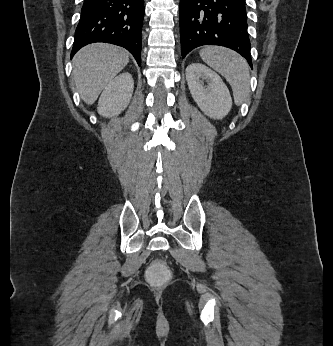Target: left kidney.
I'll return each instance as SVG.
<instances>
[{
    "mask_svg": "<svg viewBox=\"0 0 333 346\" xmlns=\"http://www.w3.org/2000/svg\"><path fill=\"white\" fill-rule=\"evenodd\" d=\"M186 79L193 99L205 115L223 119L229 113L232 99L217 73L201 63H192L186 68Z\"/></svg>",
    "mask_w": 333,
    "mask_h": 346,
    "instance_id": "left-kidney-1",
    "label": "left kidney"
}]
</instances>
